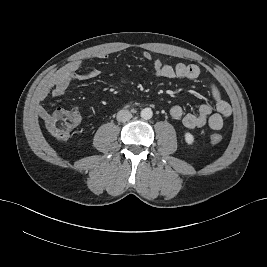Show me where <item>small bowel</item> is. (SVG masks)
Masks as SVG:
<instances>
[{"mask_svg":"<svg viewBox=\"0 0 267 267\" xmlns=\"http://www.w3.org/2000/svg\"><path fill=\"white\" fill-rule=\"evenodd\" d=\"M97 57L105 59L108 56L107 54L101 53ZM143 59L147 62L152 61L153 73L156 77L196 80L202 76L200 67L195 64L178 63L174 66L163 64L159 59L153 60L149 52L143 53ZM98 75L99 71L97 69H90L84 72L81 62H70L59 70L47 83L40 93V98L44 99L48 95L62 96L67 91L73 79L86 80L95 78ZM209 96L215 107L214 112H212L210 105L203 104L199 107L196 114H184L183 109L175 105L169 110L170 117L175 120L181 119L183 125L188 129L201 128L208 125L212 130H220L223 127L225 119L231 115V107L214 83H209ZM37 114L45 120L50 113L43 106L39 105L37 107Z\"/></svg>","mask_w":267,"mask_h":267,"instance_id":"c3829d8e","label":"small bowel"}]
</instances>
